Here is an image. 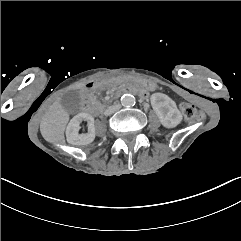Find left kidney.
I'll return each instance as SVG.
<instances>
[{
	"instance_id": "obj_1",
	"label": "left kidney",
	"mask_w": 241,
	"mask_h": 241,
	"mask_svg": "<svg viewBox=\"0 0 241 241\" xmlns=\"http://www.w3.org/2000/svg\"><path fill=\"white\" fill-rule=\"evenodd\" d=\"M150 103L164 128L173 129L181 124L183 115L170 97L159 92L153 93L150 96Z\"/></svg>"
}]
</instances>
